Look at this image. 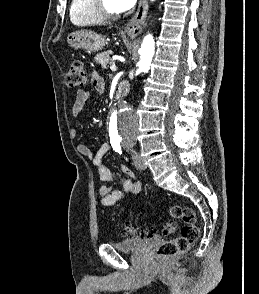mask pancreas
<instances>
[{"label":"pancreas","instance_id":"1","mask_svg":"<svg viewBox=\"0 0 259 294\" xmlns=\"http://www.w3.org/2000/svg\"><path fill=\"white\" fill-rule=\"evenodd\" d=\"M111 55L112 51L102 52L95 57V61L97 64L101 65L103 69H106L107 65L110 63Z\"/></svg>","mask_w":259,"mask_h":294}]
</instances>
